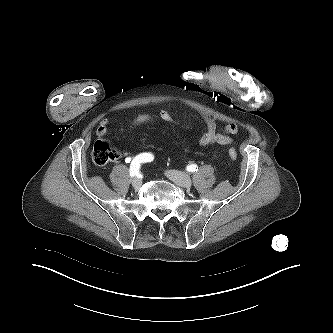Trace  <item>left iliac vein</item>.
I'll list each match as a JSON object with an SVG mask.
<instances>
[{
    "instance_id": "4c4485c4",
    "label": "left iliac vein",
    "mask_w": 333,
    "mask_h": 333,
    "mask_svg": "<svg viewBox=\"0 0 333 333\" xmlns=\"http://www.w3.org/2000/svg\"><path fill=\"white\" fill-rule=\"evenodd\" d=\"M166 176L181 187L190 188L192 186V180L190 176L185 173L175 170H168L166 172Z\"/></svg>"
}]
</instances>
